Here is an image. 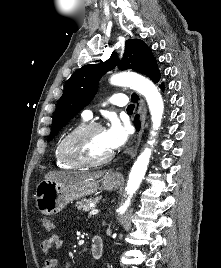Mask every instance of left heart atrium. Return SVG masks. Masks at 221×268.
<instances>
[{"instance_id":"1","label":"left heart atrium","mask_w":221,"mask_h":268,"mask_svg":"<svg viewBox=\"0 0 221 268\" xmlns=\"http://www.w3.org/2000/svg\"><path fill=\"white\" fill-rule=\"evenodd\" d=\"M106 142L111 151L120 148L128 138V130L118 120L113 119L104 131Z\"/></svg>"}]
</instances>
